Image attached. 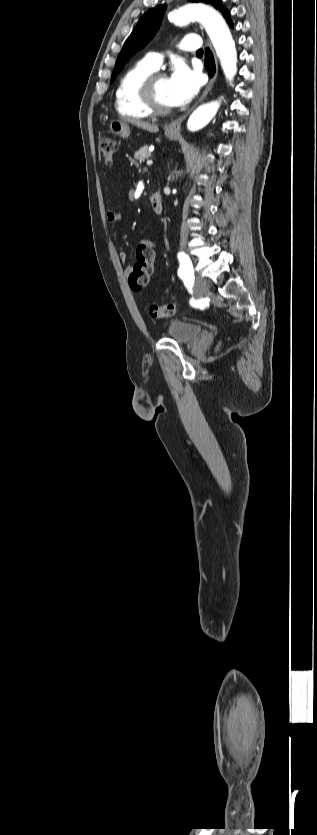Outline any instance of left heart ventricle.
<instances>
[{
	"mask_svg": "<svg viewBox=\"0 0 317 835\" xmlns=\"http://www.w3.org/2000/svg\"><path fill=\"white\" fill-rule=\"evenodd\" d=\"M156 95L162 105L171 107L168 95V79L166 77L160 78L156 83Z\"/></svg>",
	"mask_w": 317,
	"mask_h": 835,
	"instance_id": "b2bd125f",
	"label": "left heart ventricle"
}]
</instances>
